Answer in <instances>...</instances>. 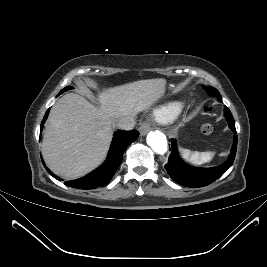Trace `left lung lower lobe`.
Listing matches in <instances>:
<instances>
[{
  "label": "left lung lower lobe",
  "instance_id": "1",
  "mask_svg": "<svg viewBox=\"0 0 267 267\" xmlns=\"http://www.w3.org/2000/svg\"><path fill=\"white\" fill-rule=\"evenodd\" d=\"M206 91L212 95V87H205ZM225 118L229 127L236 134L235 123L230 110L225 106ZM172 153L169 156L165 169L169 176L178 184L187 187H203L222 176L232 165L237 149V135H234L233 146L229 159L223 164L213 168H196L185 164L178 156L176 142L171 139Z\"/></svg>",
  "mask_w": 267,
  "mask_h": 267
}]
</instances>
